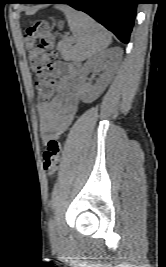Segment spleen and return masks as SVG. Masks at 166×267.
Returning a JSON list of instances; mask_svg holds the SVG:
<instances>
[{"mask_svg": "<svg viewBox=\"0 0 166 267\" xmlns=\"http://www.w3.org/2000/svg\"><path fill=\"white\" fill-rule=\"evenodd\" d=\"M58 8L65 13L70 30L76 38V45L70 50L72 60L92 58L110 45V34L90 16L66 5Z\"/></svg>", "mask_w": 166, "mask_h": 267, "instance_id": "spleen-1", "label": "spleen"}]
</instances>
